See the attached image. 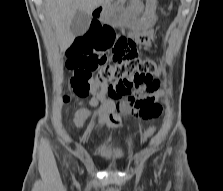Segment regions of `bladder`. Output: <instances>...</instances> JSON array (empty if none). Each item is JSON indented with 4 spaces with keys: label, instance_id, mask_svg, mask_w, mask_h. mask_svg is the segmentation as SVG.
Segmentation results:
<instances>
[{
    "label": "bladder",
    "instance_id": "bladder-1",
    "mask_svg": "<svg viewBox=\"0 0 223 191\" xmlns=\"http://www.w3.org/2000/svg\"><path fill=\"white\" fill-rule=\"evenodd\" d=\"M95 153L97 156L109 160L118 161L124 156V147L121 143L100 142L96 145Z\"/></svg>",
    "mask_w": 223,
    "mask_h": 191
}]
</instances>
